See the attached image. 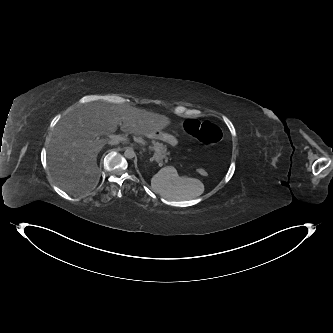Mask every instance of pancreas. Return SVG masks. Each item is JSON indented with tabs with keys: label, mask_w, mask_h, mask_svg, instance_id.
Returning <instances> with one entry per match:
<instances>
[{
	"label": "pancreas",
	"mask_w": 333,
	"mask_h": 333,
	"mask_svg": "<svg viewBox=\"0 0 333 333\" xmlns=\"http://www.w3.org/2000/svg\"><path fill=\"white\" fill-rule=\"evenodd\" d=\"M152 144L155 150V156L158 158L160 162H162L163 160L165 162L171 160V158L169 157L170 152L167 151L166 145L155 140H152Z\"/></svg>",
	"instance_id": "pancreas-1"
}]
</instances>
